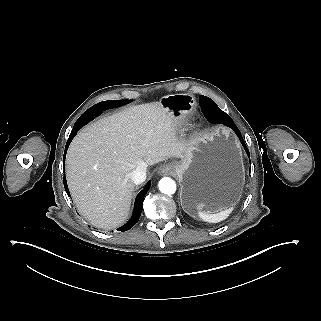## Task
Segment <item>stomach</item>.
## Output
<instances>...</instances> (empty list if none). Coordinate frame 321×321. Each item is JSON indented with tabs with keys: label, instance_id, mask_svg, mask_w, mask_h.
<instances>
[{
	"label": "stomach",
	"instance_id": "1",
	"mask_svg": "<svg viewBox=\"0 0 321 321\" xmlns=\"http://www.w3.org/2000/svg\"><path fill=\"white\" fill-rule=\"evenodd\" d=\"M161 104L179 116L190 112L195 100L190 94H176L162 98ZM174 168L182 208L193 218L202 210L221 211L241 198L245 182L242 152L228 128L220 127L192 141L183 161Z\"/></svg>",
	"mask_w": 321,
	"mask_h": 321
}]
</instances>
